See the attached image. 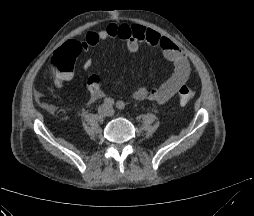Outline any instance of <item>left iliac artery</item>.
<instances>
[{"instance_id": "obj_1", "label": "left iliac artery", "mask_w": 254, "mask_h": 216, "mask_svg": "<svg viewBox=\"0 0 254 216\" xmlns=\"http://www.w3.org/2000/svg\"><path fill=\"white\" fill-rule=\"evenodd\" d=\"M116 107L119 109V110H124L125 108V103L123 101H118L116 103Z\"/></svg>"}]
</instances>
